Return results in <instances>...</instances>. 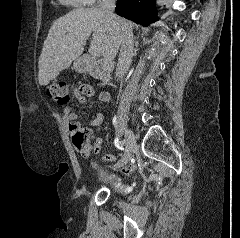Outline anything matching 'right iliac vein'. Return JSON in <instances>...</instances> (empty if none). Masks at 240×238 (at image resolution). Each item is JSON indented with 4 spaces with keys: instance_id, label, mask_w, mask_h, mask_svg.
Here are the masks:
<instances>
[{
    "instance_id": "obj_1",
    "label": "right iliac vein",
    "mask_w": 240,
    "mask_h": 238,
    "mask_svg": "<svg viewBox=\"0 0 240 238\" xmlns=\"http://www.w3.org/2000/svg\"><path fill=\"white\" fill-rule=\"evenodd\" d=\"M125 145H126V151L124 153V156L121 159V161L115 165V169L122 167L130 160L132 152L134 151V148L136 146L134 135L129 130L125 131Z\"/></svg>"
}]
</instances>
